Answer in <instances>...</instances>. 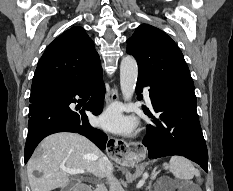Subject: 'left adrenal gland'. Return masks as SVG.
Listing matches in <instances>:
<instances>
[{
    "label": "left adrenal gland",
    "mask_w": 233,
    "mask_h": 191,
    "mask_svg": "<svg viewBox=\"0 0 233 191\" xmlns=\"http://www.w3.org/2000/svg\"><path fill=\"white\" fill-rule=\"evenodd\" d=\"M156 168L153 170L152 176H151V181L154 180V178L156 177Z\"/></svg>",
    "instance_id": "a2214340"
}]
</instances>
